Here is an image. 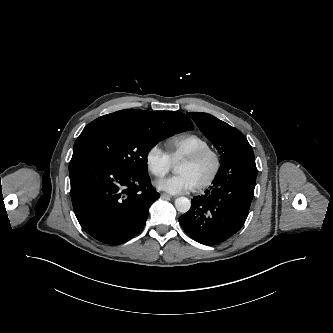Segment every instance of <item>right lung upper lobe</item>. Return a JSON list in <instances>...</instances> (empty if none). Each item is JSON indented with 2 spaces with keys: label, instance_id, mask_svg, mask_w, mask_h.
I'll return each mask as SVG.
<instances>
[{
  "label": "right lung upper lobe",
  "instance_id": "cb5924a9",
  "mask_svg": "<svg viewBox=\"0 0 333 333\" xmlns=\"http://www.w3.org/2000/svg\"><path fill=\"white\" fill-rule=\"evenodd\" d=\"M102 117L110 119H122L147 126H180L184 130H192L191 120L184 114L174 111H144L138 109H126L117 111Z\"/></svg>",
  "mask_w": 333,
  "mask_h": 333
}]
</instances>
